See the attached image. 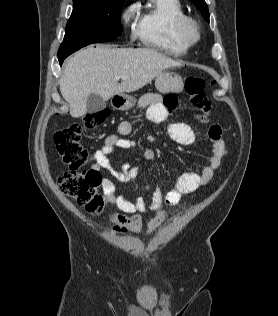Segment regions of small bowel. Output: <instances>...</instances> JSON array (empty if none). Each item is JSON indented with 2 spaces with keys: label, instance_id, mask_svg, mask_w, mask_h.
Listing matches in <instances>:
<instances>
[{
  "label": "small bowel",
  "instance_id": "1",
  "mask_svg": "<svg viewBox=\"0 0 278 316\" xmlns=\"http://www.w3.org/2000/svg\"><path fill=\"white\" fill-rule=\"evenodd\" d=\"M176 105L177 101L174 96L168 95L163 99L155 93L144 94L138 101V108H147V118L152 122L165 121ZM195 118L200 123L208 126V138L212 144L208 164L203 166L199 172L186 171L175 177L172 188L166 195L162 194L157 184L145 187L144 189L151 194L149 205L141 195L135 196L133 200L128 199L117 190L112 180L114 178L119 182L135 183L139 173L138 167L131 166L128 163L123 164L120 169H115L109 160V156L119 149L136 147L133 140L125 138L132 131L130 121H122L118 126L117 134L107 136L103 147L94 151V164L91 170L98 173L104 170L109 173L110 176H105L101 181L105 199L108 204L115 206L122 212L109 214L108 220L113 224L112 231L137 234L145 227L147 234L153 233L166 219L164 205H177L184 195L206 185L213 178L228 152L226 142L222 137L223 130L219 124L212 122L208 116L198 114L195 115ZM168 133L175 142L182 145H192L196 140L193 129L186 123H170ZM140 155L145 160L155 158V152L151 148L142 149ZM147 207L156 211V215L144 224L141 213L145 212Z\"/></svg>",
  "mask_w": 278,
  "mask_h": 316
}]
</instances>
